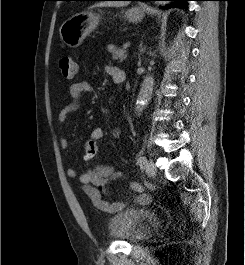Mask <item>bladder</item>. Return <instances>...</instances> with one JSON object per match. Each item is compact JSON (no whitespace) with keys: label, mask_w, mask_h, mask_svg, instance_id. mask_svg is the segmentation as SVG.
<instances>
[{"label":"bladder","mask_w":245,"mask_h":265,"mask_svg":"<svg viewBox=\"0 0 245 265\" xmlns=\"http://www.w3.org/2000/svg\"><path fill=\"white\" fill-rule=\"evenodd\" d=\"M157 223V215L149 208H131L110 218L108 233L119 241L140 242L154 233Z\"/></svg>","instance_id":"bladder-1"}]
</instances>
